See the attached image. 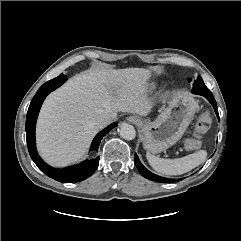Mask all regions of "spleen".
<instances>
[{"label":"spleen","instance_id":"spleen-1","mask_svg":"<svg viewBox=\"0 0 241 241\" xmlns=\"http://www.w3.org/2000/svg\"><path fill=\"white\" fill-rule=\"evenodd\" d=\"M146 157L150 166L160 174L180 175L203 163L207 157V152L205 150H200L177 159H162L147 152Z\"/></svg>","mask_w":241,"mask_h":241}]
</instances>
